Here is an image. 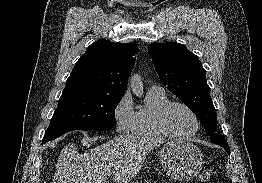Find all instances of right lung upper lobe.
Here are the masks:
<instances>
[{
	"mask_svg": "<svg viewBox=\"0 0 262 183\" xmlns=\"http://www.w3.org/2000/svg\"><path fill=\"white\" fill-rule=\"evenodd\" d=\"M138 47L99 39L76 62L63 93L92 92L123 96Z\"/></svg>",
	"mask_w": 262,
	"mask_h": 183,
	"instance_id": "1",
	"label": "right lung upper lobe"
}]
</instances>
